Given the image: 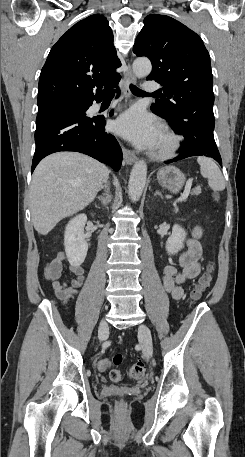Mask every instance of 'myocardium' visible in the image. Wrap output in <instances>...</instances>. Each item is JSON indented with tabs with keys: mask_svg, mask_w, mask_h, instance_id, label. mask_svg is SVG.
<instances>
[{
	"mask_svg": "<svg viewBox=\"0 0 245 457\" xmlns=\"http://www.w3.org/2000/svg\"><path fill=\"white\" fill-rule=\"evenodd\" d=\"M180 139L169 129H163L159 141L153 148V155L157 159L172 156L179 148Z\"/></svg>",
	"mask_w": 245,
	"mask_h": 457,
	"instance_id": "obj_1",
	"label": "myocardium"
}]
</instances>
